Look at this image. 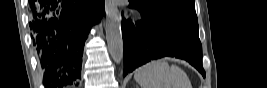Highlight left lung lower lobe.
<instances>
[{
  "label": "left lung lower lobe",
  "mask_w": 267,
  "mask_h": 88,
  "mask_svg": "<svg viewBox=\"0 0 267 88\" xmlns=\"http://www.w3.org/2000/svg\"><path fill=\"white\" fill-rule=\"evenodd\" d=\"M122 36L124 76L151 59L172 56L188 61L205 77L197 27L145 18L135 26L130 20H123Z\"/></svg>",
  "instance_id": "1"
}]
</instances>
